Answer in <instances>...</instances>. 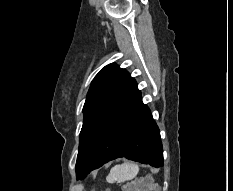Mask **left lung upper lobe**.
Instances as JSON below:
<instances>
[{"mask_svg":"<svg viewBox=\"0 0 233 191\" xmlns=\"http://www.w3.org/2000/svg\"><path fill=\"white\" fill-rule=\"evenodd\" d=\"M137 88L129 73L116 64L105 66L93 79L83 107L84 120L76 163L78 172L94 144Z\"/></svg>","mask_w":233,"mask_h":191,"instance_id":"obj_1","label":"left lung upper lobe"}]
</instances>
